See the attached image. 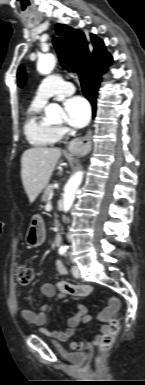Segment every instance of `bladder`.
<instances>
[{
    "mask_svg": "<svg viewBox=\"0 0 145 385\" xmlns=\"http://www.w3.org/2000/svg\"><path fill=\"white\" fill-rule=\"evenodd\" d=\"M70 357L75 358V360L78 361V362H82V361L85 360V357H86V356H85L84 353H77V354H75V355H71Z\"/></svg>",
    "mask_w": 145,
    "mask_h": 385,
    "instance_id": "bladder-1",
    "label": "bladder"
}]
</instances>
